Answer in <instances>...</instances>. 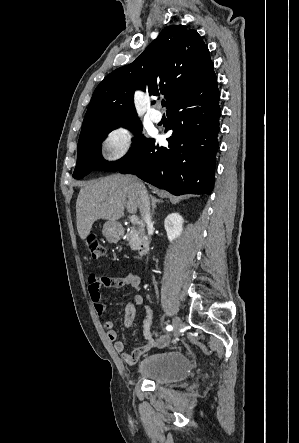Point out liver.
<instances>
[{"mask_svg":"<svg viewBox=\"0 0 299 443\" xmlns=\"http://www.w3.org/2000/svg\"><path fill=\"white\" fill-rule=\"evenodd\" d=\"M137 178L120 174L84 183L76 201L77 230L82 240L89 235L99 219L116 222L125 208L135 214L139 198L134 189Z\"/></svg>","mask_w":299,"mask_h":443,"instance_id":"liver-1","label":"liver"}]
</instances>
